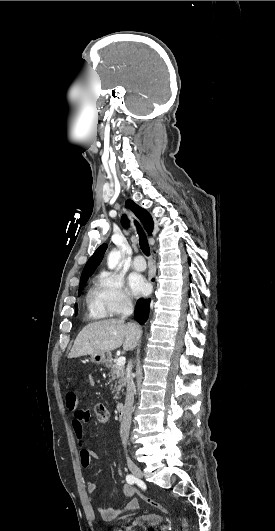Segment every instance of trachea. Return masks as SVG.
<instances>
[{"mask_svg":"<svg viewBox=\"0 0 275 531\" xmlns=\"http://www.w3.org/2000/svg\"><path fill=\"white\" fill-rule=\"evenodd\" d=\"M135 226H136V229L139 235L140 248L146 256H149L150 248H149V243L147 241V236L145 232L143 231L142 227L139 225V223H137V221H135Z\"/></svg>","mask_w":275,"mask_h":531,"instance_id":"obj_1","label":"trachea"}]
</instances>
